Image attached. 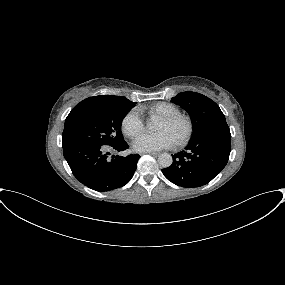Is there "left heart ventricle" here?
I'll return each instance as SVG.
<instances>
[{
    "instance_id": "left-heart-ventricle-1",
    "label": "left heart ventricle",
    "mask_w": 285,
    "mask_h": 285,
    "mask_svg": "<svg viewBox=\"0 0 285 285\" xmlns=\"http://www.w3.org/2000/svg\"><path fill=\"white\" fill-rule=\"evenodd\" d=\"M184 127L181 123H176L172 125L165 124L160 120L157 121L154 132H164L175 142L183 133Z\"/></svg>"
}]
</instances>
